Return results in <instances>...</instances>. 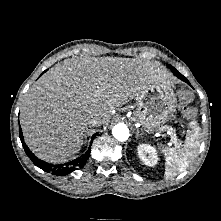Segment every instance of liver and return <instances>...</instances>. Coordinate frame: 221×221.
Instances as JSON below:
<instances>
[{"instance_id":"6515ba94","label":"liver","mask_w":221,"mask_h":221,"mask_svg":"<svg viewBox=\"0 0 221 221\" xmlns=\"http://www.w3.org/2000/svg\"><path fill=\"white\" fill-rule=\"evenodd\" d=\"M157 81H167L158 62L73 57L56 64L25 95L20 124L30 150L49 163L78 153L92 118L107 125L122 106Z\"/></svg>"}]
</instances>
